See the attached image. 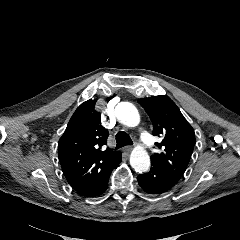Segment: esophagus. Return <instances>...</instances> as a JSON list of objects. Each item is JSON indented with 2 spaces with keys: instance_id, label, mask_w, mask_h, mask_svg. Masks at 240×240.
I'll return each instance as SVG.
<instances>
[{
  "instance_id": "34e87169",
  "label": "esophagus",
  "mask_w": 240,
  "mask_h": 240,
  "mask_svg": "<svg viewBox=\"0 0 240 240\" xmlns=\"http://www.w3.org/2000/svg\"><path fill=\"white\" fill-rule=\"evenodd\" d=\"M131 150H132V147H131V146H125V147L123 148V151H124L125 153H127V154H129V153L131 152Z\"/></svg>"
}]
</instances>
